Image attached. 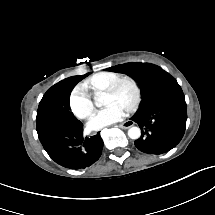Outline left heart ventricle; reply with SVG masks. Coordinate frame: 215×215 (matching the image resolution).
Returning <instances> with one entry per match:
<instances>
[{
    "mask_svg": "<svg viewBox=\"0 0 215 215\" xmlns=\"http://www.w3.org/2000/svg\"><path fill=\"white\" fill-rule=\"evenodd\" d=\"M128 97V93L125 89H121L117 92L116 98L120 103H123Z\"/></svg>",
    "mask_w": 215,
    "mask_h": 215,
    "instance_id": "obj_1",
    "label": "left heart ventricle"
}]
</instances>
